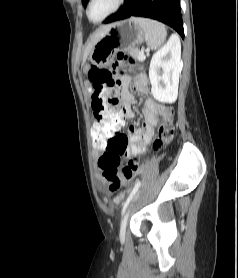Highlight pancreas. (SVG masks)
Instances as JSON below:
<instances>
[{
    "label": "pancreas",
    "mask_w": 238,
    "mask_h": 278,
    "mask_svg": "<svg viewBox=\"0 0 238 278\" xmlns=\"http://www.w3.org/2000/svg\"><path fill=\"white\" fill-rule=\"evenodd\" d=\"M129 52L130 55L136 59H139V56L141 55V52L137 48L131 49Z\"/></svg>",
    "instance_id": "cf45deb5"
}]
</instances>
